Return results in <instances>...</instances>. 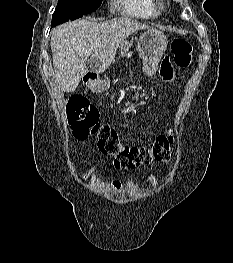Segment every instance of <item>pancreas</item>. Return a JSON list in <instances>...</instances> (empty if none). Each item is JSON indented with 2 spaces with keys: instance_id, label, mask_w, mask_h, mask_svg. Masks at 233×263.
<instances>
[{
  "instance_id": "1",
  "label": "pancreas",
  "mask_w": 233,
  "mask_h": 263,
  "mask_svg": "<svg viewBox=\"0 0 233 263\" xmlns=\"http://www.w3.org/2000/svg\"><path fill=\"white\" fill-rule=\"evenodd\" d=\"M133 45L132 41H125L120 46V53L125 54L129 51V48Z\"/></svg>"
}]
</instances>
